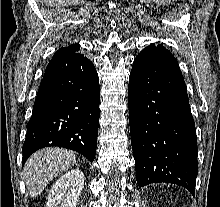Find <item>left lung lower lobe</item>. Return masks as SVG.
<instances>
[{"label": "left lung lower lobe", "instance_id": "0a47b994", "mask_svg": "<svg viewBox=\"0 0 220 207\" xmlns=\"http://www.w3.org/2000/svg\"><path fill=\"white\" fill-rule=\"evenodd\" d=\"M137 183H174L195 193L197 140L186 85L175 57L150 44L134 59L128 87Z\"/></svg>", "mask_w": 220, "mask_h": 207}]
</instances>
